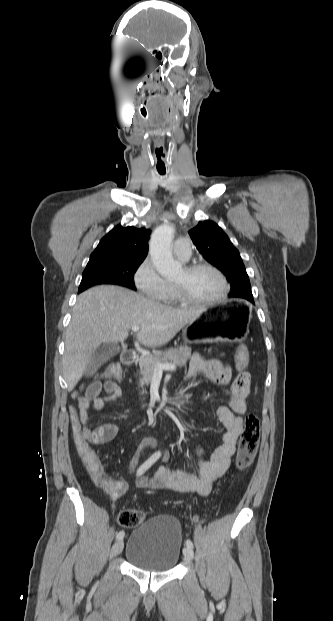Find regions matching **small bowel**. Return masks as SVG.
<instances>
[{"label":"small bowel","instance_id":"c3829d8e","mask_svg":"<svg viewBox=\"0 0 333 621\" xmlns=\"http://www.w3.org/2000/svg\"><path fill=\"white\" fill-rule=\"evenodd\" d=\"M203 372L209 378L219 384L227 383L230 380L229 369L218 360L207 359L201 354L193 356L187 378L191 379L198 373ZM105 392V396L101 393ZM250 392V375L247 371L236 375L231 382L230 396L228 405L220 406L217 417L224 427L221 444L209 455L205 456L204 450L199 445L191 447V452L196 458L198 474L189 473L183 470H173L162 466L154 478L148 480L141 478L138 480V487H151L154 489H165L182 493H197L201 496L208 495L213 487V483L222 477L231 465V460L236 453V443L243 429L242 416L247 410V397ZM123 391L115 380H108L101 383L94 380L88 383L83 394L77 397L78 419L82 425L84 437L92 444L106 443L119 435L120 426L115 423H106L95 429L89 426V410L93 404L94 409L102 411L106 403L121 398ZM154 439L147 438L145 447H154ZM164 461L167 457L164 456ZM140 456H134L128 464L130 471L138 465ZM128 488L124 481H112L111 498L115 499L123 494Z\"/></svg>","mask_w":333,"mask_h":621}]
</instances>
